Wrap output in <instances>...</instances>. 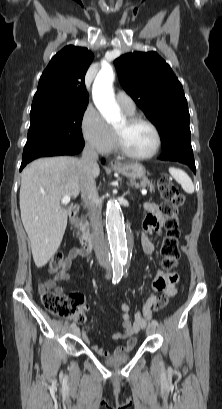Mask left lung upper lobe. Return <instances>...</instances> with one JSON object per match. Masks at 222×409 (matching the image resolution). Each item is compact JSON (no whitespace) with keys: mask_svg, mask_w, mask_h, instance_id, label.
Listing matches in <instances>:
<instances>
[{"mask_svg":"<svg viewBox=\"0 0 222 409\" xmlns=\"http://www.w3.org/2000/svg\"><path fill=\"white\" fill-rule=\"evenodd\" d=\"M125 91L157 127L162 149L191 146L189 111L181 83L156 52H134L114 61Z\"/></svg>","mask_w":222,"mask_h":409,"instance_id":"left-lung-upper-lobe-1","label":"left lung upper lobe"}]
</instances>
